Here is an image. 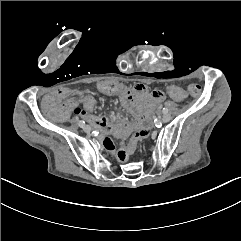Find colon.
I'll return each mask as SVG.
<instances>
[{
	"label": "colon",
	"instance_id": "obj_1",
	"mask_svg": "<svg viewBox=\"0 0 241 241\" xmlns=\"http://www.w3.org/2000/svg\"><path fill=\"white\" fill-rule=\"evenodd\" d=\"M100 86L102 93H119L121 91L120 82L115 79H101ZM188 90L193 96H197L201 92V88L198 85H191ZM163 91L170 97H175L178 94L177 87L171 83L164 84Z\"/></svg>",
	"mask_w": 241,
	"mask_h": 241
}]
</instances>
